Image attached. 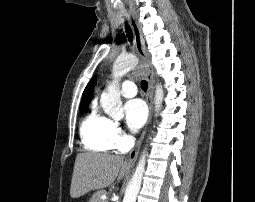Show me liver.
I'll list each match as a JSON object with an SVG mask.
<instances>
[{
  "label": "liver",
  "mask_w": 255,
  "mask_h": 202,
  "mask_svg": "<svg viewBox=\"0 0 255 202\" xmlns=\"http://www.w3.org/2000/svg\"><path fill=\"white\" fill-rule=\"evenodd\" d=\"M126 170L127 162L122 156L80 153L75 160L70 196L78 198L91 190L109 186L117 177L121 180Z\"/></svg>",
  "instance_id": "obj_1"
}]
</instances>
